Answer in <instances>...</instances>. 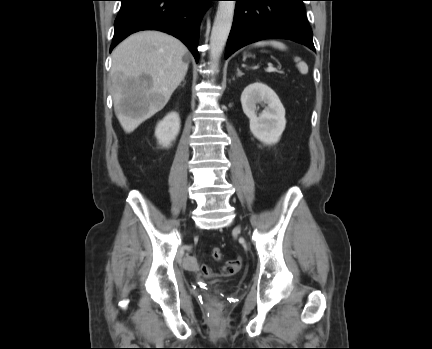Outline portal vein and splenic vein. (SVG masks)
I'll return each mask as SVG.
<instances>
[{"instance_id": "18ae733b", "label": "portal vein and splenic vein", "mask_w": 432, "mask_h": 349, "mask_svg": "<svg viewBox=\"0 0 432 349\" xmlns=\"http://www.w3.org/2000/svg\"><path fill=\"white\" fill-rule=\"evenodd\" d=\"M267 72H276L277 69L275 67H273L272 65H269L268 68L266 69Z\"/></svg>"}]
</instances>
